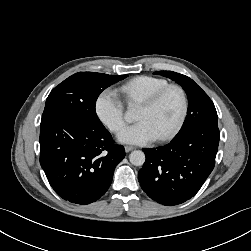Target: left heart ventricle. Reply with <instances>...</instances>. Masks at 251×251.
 I'll use <instances>...</instances> for the list:
<instances>
[{
  "label": "left heart ventricle",
  "mask_w": 251,
  "mask_h": 251,
  "mask_svg": "<svg viewBox=\"0 0 251 251\" xmlns=\"http://www.w3.org/2000/svg\"><path fill=\"white\" fill-rule=\"evenodd\" d=\"M180 109V96L175 90H171L154 107L140 106L136 114V120L147 121L158 137L173 126L179 116Z\"/></svg>",
  "instance_id": "obj_1"
}]
</instances>
